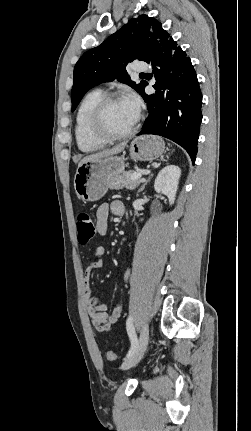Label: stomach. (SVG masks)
<instances>
[{"instance_id":"obj_1","label":"stomach","mask_w":251,"mask_h":431,"mask_svg":"<svg viewBox=\"0 0 251 431\" xmlns=\"http://www.w3.org/2000/svg\"><path fill=\"white\" fill-rule=\"evenodd\" d=\"M165 144L159 137L140 136L132 140L129 156L135 161H152L160 157ZM125 156H107L78 166L74 176V189L79 199L94 202L108 190L111 178L119 176L125 169Z\"/></svg>"}]
</instances>
